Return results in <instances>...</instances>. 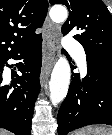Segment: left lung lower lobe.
Listing matches in <instances>:
<instances>
[{
  "instance_id": "left-lung-lower-lobe-1",
  "label": "left lung lower lobe",
  "mask_w": 112,
  "mask_h": 135,
  "mask_svg": "<svg viewBox=\"0 0 112 135\" xmlns=\"http://www.w3.org/2000/svg\"><path fill=\"white\" fill-rule=\"evenodd\" d=\"M87 75L78 74L69 86L58 115V134L91 125H112V59L87 55Z\"/></svg>"
}]
</instances>
